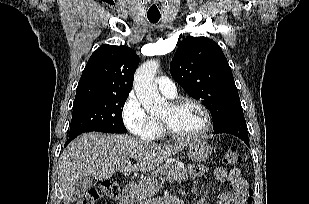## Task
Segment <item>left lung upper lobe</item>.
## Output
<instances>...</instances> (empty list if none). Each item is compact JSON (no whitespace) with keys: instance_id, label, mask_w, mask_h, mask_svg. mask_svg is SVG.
Listing matches in <instances>:
<instances>
[{"instance_id":"5c2ea615","label":"left lung upper lobe","mask_w":309,"mask_h":204,"mask_svg":"<svg viewBox=\"0 0 309 204\" xmlns=\"http://www.w3.org/2000/svg\"><path fill=\"white\" fill-rule=\"evenodd\" d=\"M172 77L208 108L214 128L244 116L231 68L220 48L206 37L184 39L170 64Z\"/></svg>"}]
</instances>
